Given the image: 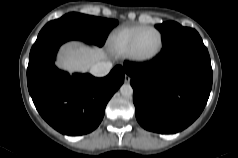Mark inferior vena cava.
Wrapping results in <instances>:
<instances>
[{"label":"inferior vena cava","mask_w":238,"mask_h":158,"mask_svg":"<svg viewBox=\"0 0 238 158\" xmlns=\"http://www.w3.org/2000/svg\"><path fill=\"white\" fill-rule=\"evenodd\" d=\"M111 68V62L102 61L92 65L90 73L96 77H104L110 72Z\"/></svg>","instance_id":"obj_1"}]
</instances>
